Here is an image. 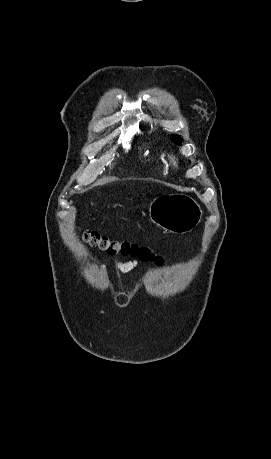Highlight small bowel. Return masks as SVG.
Wrapping results in <instances>:
<instances>
[{
    "mask_svg": "<svg viewBox=\"0 0 271 459\" xmlns=\"http://www.w3.org/2000/svg\"><path fill=\"white\" fill-rule=\"evenodd\" d=\"M136 266H137V262L134 261V260L126 261V262L120 261V262L117 263V267L122 272H130L133 269H135Z\"/></svg>",
    "mask_w": 271,
    "mask_h": 459,
    "instance_id": "small-bowel-1",
    "label": "small bowel"
}]
</instances>
